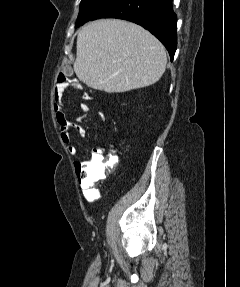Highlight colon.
Returning <instances> with one entry per match:
<instances>
[{
    "mask_svg": "<svg viewBox=\"0 0 240 287\" xmlns=\"http://www.w3.org/2000/svg\"><path fill=\"white\" fill-rule=\"evenodd\" d=\"M67 83L68 78L66 74L60 72L57 77V83L53 91V99H55L60 94L63 86ZM116 160V154L114 152H111L107 156H103L98 159H92L89 162L75 163V170L82 187L87 189L96 181L103 179L107 175V173L113 169L116 164Z\"/></svg>",
    "mask_w": 240,
    "mask_h": 287,
    "instance_id": "obj_1",
    "label": "colon"
}]
</instances>
